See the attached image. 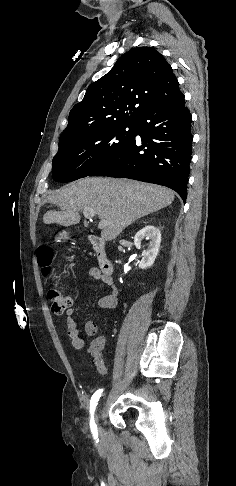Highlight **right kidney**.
<instances>
[{
    "instance_id": "ca27d5eb",
    "label": "right kidney",
    "mask_w": 236,
    "mask_h": 486,
    "mask_svg": "<svg viewBox=\"0 0 236 486\" xmlns=\"http://www.w3.org/2000/svg\"><path fill=\"white\" fill-rule=\"evenodd\" d=\"M143 239L149 240L148 248L142 252V260L139 263L140 269L151 267L159 253L161 243V233L159 229L152 225H147L138 231L134 237V244L137 249H141Z\"/></svg>"
}]
</instances>
